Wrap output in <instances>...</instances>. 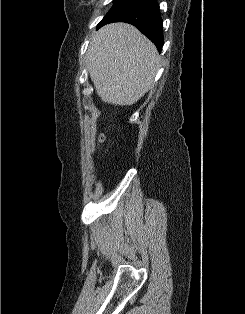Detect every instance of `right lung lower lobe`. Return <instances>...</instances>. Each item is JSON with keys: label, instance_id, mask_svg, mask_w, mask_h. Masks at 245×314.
<instances>
[{"label": "right lung lower lobe", "instance_id": "1", "mask_svg": "<svg viewBox=\"0 0 245 314\" xmlns=\"http://www.w3.org/2000/svg\"><path fill=\"white\" fill-rule=\"evenodd\" d=\"M113 22H126L136 26L159 51L162 50L163 20L155 0H129L101 21L98 28Z\"/></svg>", "mask_w": 245, "mask_h": 314}]
</instances>
